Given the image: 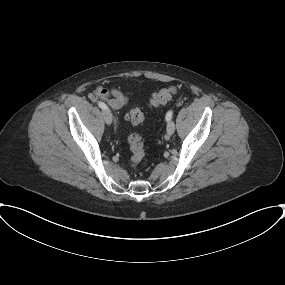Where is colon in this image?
<instances>
[{"mask_svg": "<svg viewBox=\"0 0 285 285\" xmlns=\"http://www.w3.org/2000/svg\"><path fill=\"white\" fill-rule=\"evenodd\" d=\"M177 92L175 87H167L159 89L155 92L150 100V106L154 109L166 104L171 97ZM126 118L133 124H140L145 120L143 112L137 108L131 109ZM128 144L130 147L132 166H138L145 156L144 144L140 135L132 133L128 136Z\"/></svg>", "mask_w": 285, "mask_h": 285, "instance_id": "colon-1", "label": "colon"}]
</instances>
